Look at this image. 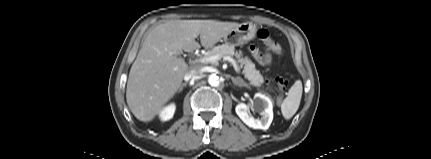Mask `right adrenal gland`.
I'll use <instances>...</instances> for the list:
<instances>
[{"label":"right adrenal gland","mask_w":431,"mask_h":159,"mask_svg":"<svg viewBox=\"0 0 431 159\" xmlns=\"http://www.w3.org/2000/svg\"><path fill=\"white\" fill-rule=\"evenodd\" d=\"M185 86H186V83H183L179 88V92H181Z\"/></svg>","instance_id":"obj_1"}]
</instances>
